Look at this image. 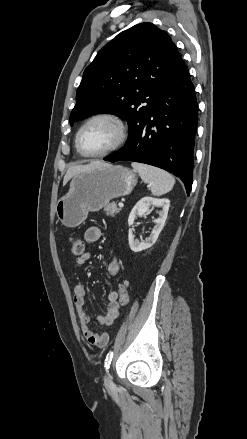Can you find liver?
Masks as SVG:
<instances>
[{"instance_id":"liver-1","label":"liver","mask_w":247,"mask_h":439,"mask_svg":"<svg viewBox=\"0 0 247 439\" xmlns=\"http://www.w3.org/2000/svg\"><path fill=\"white\" fill-rule=\"evenodd\" d=\"M109 164L103 162V161H92L87 165H76L72 166L67 170L66 175L64 176L63 185L65 186L67 182L74 177L75 175H78L83 172L91 171L100 167L107 166Z\"/></svg>"}]
</instances>
